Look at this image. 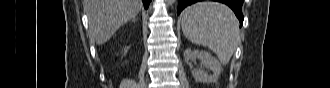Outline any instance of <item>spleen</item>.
<instances>
[{
	"mask_svg": "<svg viewBox=\"0 0 330 88\" xmlns=\"http://www.w3.org/2000/svg\"><path fill=\"white\" fill-rule=\"evenodd\" d=\"M181 27L190 42L208 47L223 65L237 48L238 23L227 5L212 1L195 3L182 12Z\"/></svg>",
	"mask_w": 330,
	"mask_h": 88,
	"instance_id": "3e777b00",
	"label": "spleen"
}]
</instances>
